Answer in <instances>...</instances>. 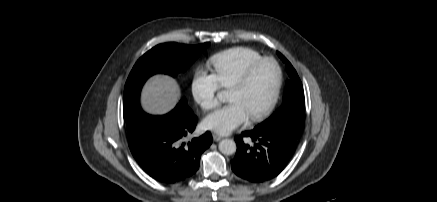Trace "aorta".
Here are the masks:
<instances>
[{"instance_id": "aorta-1", "label": "aorta", "mask_w": 437, "mask_h": 202, "mask_svg": "<svg viewBox=\"0 0 437 202\" xmlns=\"http://www.w3.org/2000/svg\"><path fill=\"white\" fill-rule=\"evenodd\" d=\"M217 97L220 100H223L224 94L222 92L218 93ZM218 148H219V151L222 154H224V155H232V154H234L236 152V149H237L236 143L233 140H231V139H223V140H221L219 142Z\"/></svg>"}]
</instances>
